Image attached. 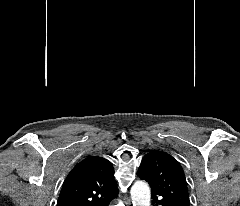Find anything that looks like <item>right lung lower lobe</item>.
<instances>
[{
  "mask_svg": "<svg viewBox=\"0 0 240 206\" xmlns=\"http://www.w3.org/2000/svg\"><path fill=\"white\" fill-rule=\"evenodd\" d=\"M116 197H117V194H115V195H113V196H111V197L103 200L100 204H98V206H108L109 203H110V201H111L112 199L116 198Z\"/></svg>",
  "mask_w": 240,
  "mask_h": 206,
  "instance_id": "right-lung-lower-lobe-1",
  "label": "right lung lower lobe"
}]
</instances>
